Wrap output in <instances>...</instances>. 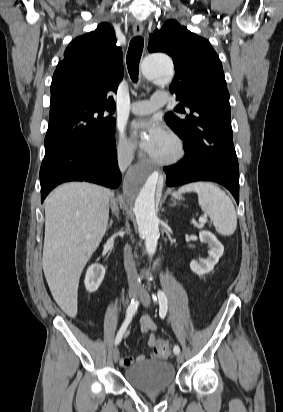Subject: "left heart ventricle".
Listing matches in <instances>:
<instances>
[{"label":"left heart ventricle","mask_w":283,"mask_h":412,"mask_svg":"<svg viewBox=\"0 0 283 412\" xmlns=\"http://www.w3.org/2000/svg\"><path fill=\"white\" fill-rule=\"evenodd\" d=\"M175 153V145L168 135L160 143V145L151 153L152 156L167 159Z\"/></svg>","instance_id":"obj_1"}]
</instances>
